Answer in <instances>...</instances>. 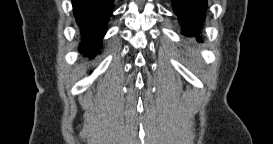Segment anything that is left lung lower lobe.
Wrapping results in <instances>:
<instances>
[{
    "label": "left lung lower lobe",
    "instance_id": "left-lung-lower-lobe-1",
    "mask_svg": "<svg viewBox=\"0 0 273 144\" xmlns=\"http://www.w3.org/2000/svg\"><path fill=\"white\" fill-rule=\"evenodd\" d=\"M175 14L183 27V34L192 37L198 36L199 27L204 22L207 0H171Z\"/></svg>",
    "mask_w": 273,
    "mask_h": 144
}]
</instances>
